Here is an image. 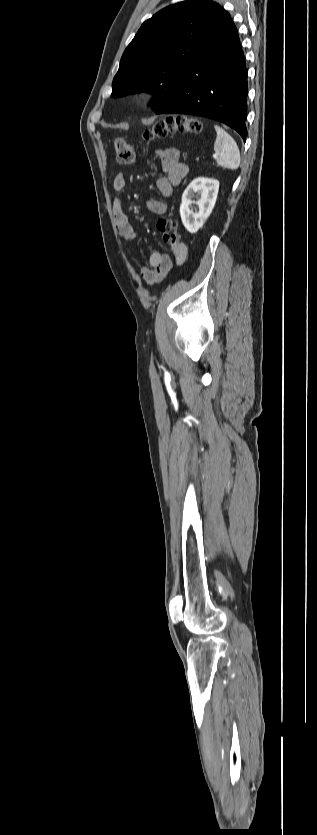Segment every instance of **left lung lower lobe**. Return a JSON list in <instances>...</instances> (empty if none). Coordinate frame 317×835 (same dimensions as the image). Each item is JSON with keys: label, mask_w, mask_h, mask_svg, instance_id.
I'll return each instance as SVG.
<instances>
[{"label": "left lung lower lobe", "mask_w": 317, "mask_h": 835, "mask_svg": "<svg viewBox=\"0 0 317 835\" xmlns=\"http://www.w3.org/2000/svg\"><path fill=\"white\" fill-rule=\"evenodd\" d=\"M247 90L245 56L237 29L226 12L197 58L188 65L176 100L155 113L214 119L236 130L245 141Z\"/></svg>", "instance_id": "0a47b994"}]
</instances>
